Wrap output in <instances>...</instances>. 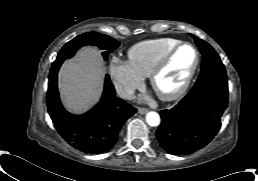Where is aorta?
Instances as JSON below:
<instances>
[{
	"label": "aorta",
	"mask_w": 258,
	"mask_h": 181,
	"mask_svg": "<svg viewBox=\"0 0 258 181\" xmlns=\"http://www.w3.org/2000/svg\"><path fill=\"white\" fill-rule=\"evenodd\" d=\"M160 116L157 112L150 111L146 114V122L149 126L156 127L160 124Z\"/></svg>",
	"instance_id": "1"
}]
</instances>
